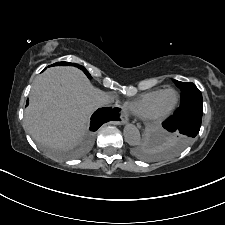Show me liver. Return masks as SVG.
<instances>
[{
    "mask_svg": "<svg viewBox=\"0 0 225 225\" xmlns=\"http://www.w3.org/2000/svg\"><path fill=\"white\" fill-rule=\"evenodd\" d=\"M107 95L94 88L74 67H52L40 74L30 92L24 124L38 142L69 150L83 139L97 97Z\"/></svg>",
    "mask_w": 225,
    "mask_h": 225,
    "instance_id": "liver-1",
    "label": "liver"
}]
</instances>
